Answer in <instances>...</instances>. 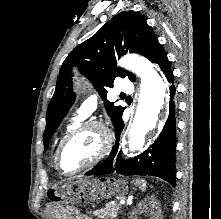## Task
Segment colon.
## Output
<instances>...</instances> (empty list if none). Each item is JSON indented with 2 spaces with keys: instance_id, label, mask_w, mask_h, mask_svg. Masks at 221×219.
Wrapping results in <instances>:
<instances>
[{
  "instance_id": "obj_1",
  "label": "colon",
  "mask_w": 221,
  "mask_h": 219,
  "mask_svg": "<svg viewBox=\"0 0 221 219\" xmlns=\"http://www.w3.org/2000/svg\"><path fill=\"white\" fill-rule=\"evenodd\" d=\"M62 196H63V195H57V198H58L59 201L64 202V201L68 200V199H63Z\"/></svg>"
}]
</instances>
